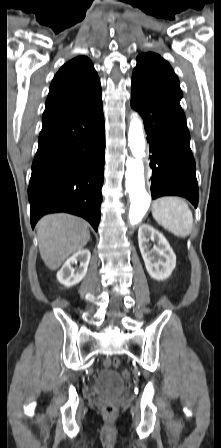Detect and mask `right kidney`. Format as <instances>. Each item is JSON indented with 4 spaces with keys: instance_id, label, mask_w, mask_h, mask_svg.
Listing matches in <instances>:
<instances>
[{
    "instance_id": "1",
    "label": "right kidney",
    "mask_w": 221,
    "mask_h": 448,
    "mask_svg": "<svg viewBox=\"0 0 221 448\" xmlns=\"http://www.w3.org/2000/svg\"><path fill=\"white\" fill-rule=\"evenodd\" d=\"M91 253L88 249H82L74 253L62 266L57 273L58 281L67 286H73L79 283L86 275ZM80 262L78 269L73 268L72 265Z\"/></svg>"
}]
</instances>
